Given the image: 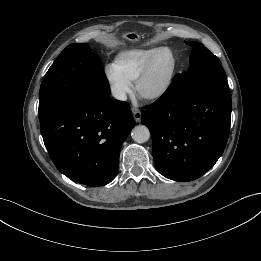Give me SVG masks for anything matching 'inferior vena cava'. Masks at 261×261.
Wrapping results in <instances>:
<instances>
[{"instance_id":"obj_1","label":"inferior vena cava","mask_w":261,"mask_h":261,"mask_svg":"<svg viewBox=\"0 0 261 261\" xmlns=\"http://www.w3.org/2000/svg\"><path fill=\"white\" fill-rule=\"evenodd\" d=\"M112 95L118 99V100H122V101H125L127 99V95L126 93L121 90V89H118V88H113L112 89Z\"/></svg>"}]
</instances>
